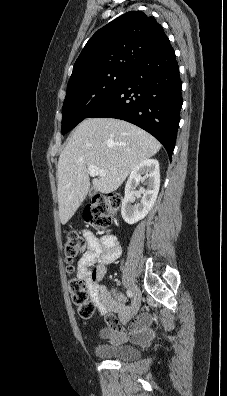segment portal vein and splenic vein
I'll return each instance as SVG.
<instances>
[{"label":"portal vein and splenic vein","mask_w":227,"mask_h":396,"mask_svg":"<svg viewBox=\"0 0 227 396\" xmlns=\"http://www.w3.org/2000/svg\"><path fill=\"white\" fill-rule=\"evenodd\" d=\"M88 174L90 176H92V177H95V176L104 177V176H106V173L103 170H100L99 168H97L94 165H90L88 167Z\"/></svg>","instance_id":"portal-vein-and-splenic-vein-1"}]
</instances>
